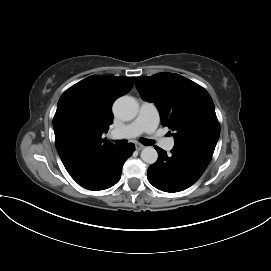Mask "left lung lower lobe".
Segmentation results:
<instances>
[{"label":"left lung lower lobe","instance_id":"obj_1","mask_svg":"<svg viewBox=\"0 0 271 271\" xmlns=\"http://www.w3.org/2000/svg\"><path fill=\"white\" fill-rule=\"evenodd\" d=\"M158 160L148 168V180L157 189L179 192L193 185L203 174L212 156L201 151L176 148L167 155L155 146Z\"/></svg>","mask_w":271,"mask_h":271}]
</instances>
